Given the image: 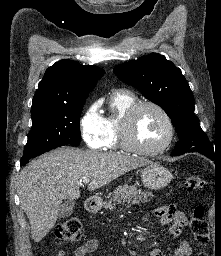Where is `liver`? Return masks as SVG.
<instances>
[{
	"label": "liver",
	"instance_id": "1",
	"mask_svg": "<svg viewBox=\"0 0 221 256\" xmlns=\"http://www.w3.org/2000/svg\"><path fill=\"white\" fill-rule=\"evenodd\" d=\"M152 163L148 159L62 147L32 160L19 175L18 194L35 242L55 225L64 199L80 197V186L89 179L94 191L121 175Z\"/></svg>",
	"mask_w": 221,
	"mask_h": 256
}]
</instances>
